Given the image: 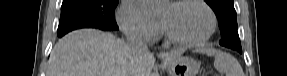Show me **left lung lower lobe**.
Instances as JSON below:
<instances>
[{"label":"left lung lower lobe","mask_w":287,"mask_h":76,"mask_svg":"<svg viewBox=\"0 0 287 76\" xmlns=\"http://www.w3.org/2000/svg\"><path fill=\"white\" fill-rule=\"evenodd\" d=\"M231 49H234V50L238 51L239 53H242V49H241V47H238V48H231Z\"/></svg>","instance_id":"0a47b994"}]
</instances>
